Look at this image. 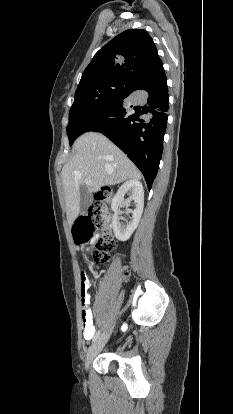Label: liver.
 <instances>
[{
	"label": "liver",
	"mask_w": 233,
	"mask_h": 414,
	"mask_svg": "<svg viewBox=\"0 0 233 414\" xmlns=\"http://www.w3.org/2000/svg\"><path fill=\"white\" fill-rule=\"evenodd\" d=\"M75 151L61 172L69 224L80 213V188L97 192L103 186L120 184L126 180H139L141 173L132 161L101 133L88 132L74 143Z\"/></svg>",
	"instance_id": "6515ba94"
}]
</instances>
